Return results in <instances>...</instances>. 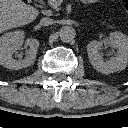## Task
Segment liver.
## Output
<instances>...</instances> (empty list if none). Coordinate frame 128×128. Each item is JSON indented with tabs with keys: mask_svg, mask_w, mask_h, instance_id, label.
Segmentation results:
<instances>
[{
	"mask_svg": "<svg viewBox=\"0 0 128 128\" xmlns=\"http://www.w3.org/2000/svg\"><path fill=\"white\" fill-rule=\"evenodd\" d=\"M39 11L22 0H0V33L33 22Z\"/></svg>",
	"mask_w": 128,
	"mask_h": 128,
	"instance_id": "6515ba94",
	"label": "liver"
}]
</instances>
